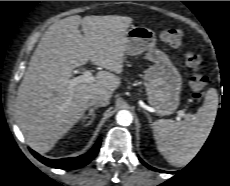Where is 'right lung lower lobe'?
Wrapping results in <instances>:
<instances>
[{
  "instance_id": "obj_1",
  "label": "right lung lower lobe",
  "mask_w": 230,
  "mask_h": 186,
  "mask_svg": "<svg viewBox=\"0 0 230 186\" xmlns=\"http://www.w3.org/2000/svg\"><path fill=\"white\" fill-rule=\"evenodd\" d=\"M101 138L98 139L96 145L86 154L81 155L79 157L72 158H63V159H47L45 157L40 156L33 150H30L31 153L42 163L47 166L58 168V169H74L78 167H82L88 164L98 153L100 148Z\"/></svg>"
}]
</instances>
